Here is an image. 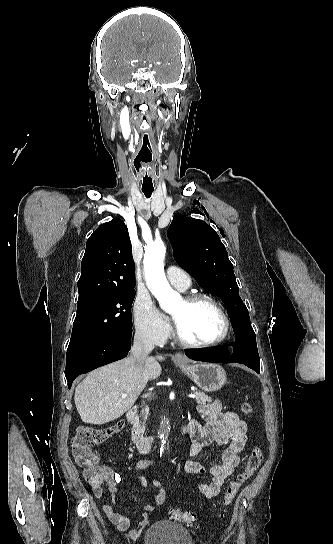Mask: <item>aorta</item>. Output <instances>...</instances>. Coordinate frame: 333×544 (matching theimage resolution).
Instances as JSON below:
<instances>
[{
    "instance_id": "1",
    "label": "aorta",
    "mask_w": 333,
    "mask_h": 544,
    "mask_svg": "<svg viewBox=\"0 0 333 544\" xmlns=\"http://www.w3.org/2000/svg\"><path fill=\"white\" fill-rule=\"evenodd\" d=\"M165 253L166 248L162 242H156L147 247L144 255V269L148 288L159 301L161 308L169 312L181 297L170 287L165 277L163 266Z\"/></svg>"
}]
</instances>
